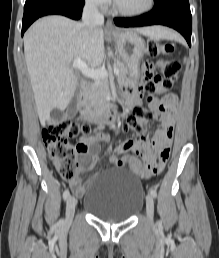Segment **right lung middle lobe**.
Segmentation results:
<instances>
[{
    "mask_svg": "<svg viewBox=\"0 0 219 258\" xmlns=\"http://www.w3.org/2000/svg\"><path fill=\"white\" fill-rule=\"evenodd\" d=\"M36 0H26L25 6L30 5L31 3L35 2Z\"/></svg>",
    "mask_w": 219,
    "mask_h": 258,
    "instance_id": "obj_1",
    "label": "right lung middle lobe"
}]
</instances>
